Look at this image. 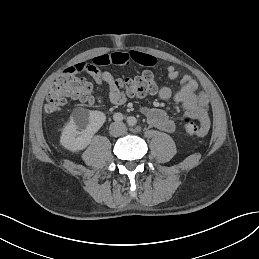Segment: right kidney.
<instances>
[{
    "instance_id": "right-kidney-1",
    "label": "right kidney",
    "mask_w": 259,
    "mask_h": 259,
    "mask_svg": "<svg viewBox=\"0 0 259 259\" xmlns=\"http://www.w3.org/2000/svg\"><path fill=\"white\" fill-rule=\"evenodd\" d=\"M105 122L106 115L102 111L76 109L70 122L61 132L60 146L72 153L83 151ZM78 129L82 130L81 134Z\"/></svg>"
}]
</instances>
